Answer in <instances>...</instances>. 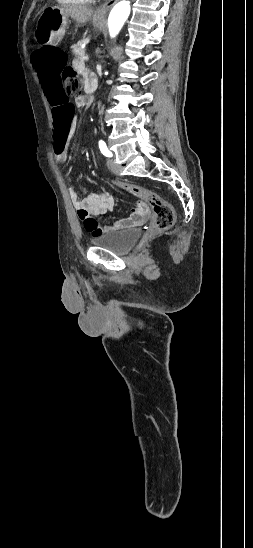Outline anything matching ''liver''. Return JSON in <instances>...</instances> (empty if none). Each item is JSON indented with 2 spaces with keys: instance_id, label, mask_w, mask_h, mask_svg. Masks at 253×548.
<instances>
[{
  "instance_id": "1",
  "label": "liver",
  "mask_w": 253,
  "mask_h": 548,
  "mask_svg": "<svg viewBox=\"0 0 253 548\" xmlns=\"http://www.w3.org/2000/svg\"><path fill=\"white\" fill-rule=\"evenodd\" d=\"M53 8L60 10L80 24H85L89 21L94 13L93 9L83 5L55 6Z\"/></svg>"
}]
</instances>
